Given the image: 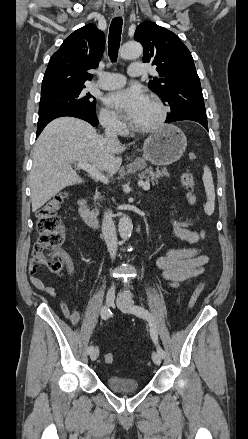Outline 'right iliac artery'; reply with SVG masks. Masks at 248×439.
Returning a JSON list of instances; mask_svg holds the SVG:
<instances>
[{"instance_id": "obj_1", "label": "right iliac artery", "mask_w": 248, "mask_h": 439, "mask_svg": "<svg viewBox=\"0 0 248 439\" xmlns=\"http://www.w3.org/2000/svg\"><path fill=\"white\" fill-rule=\"evenodd\" d=\"M110 314H111L110 309H108V308L105 307V306L102 307V309H101V317H102V319L107 320V319L110 317ZM93 349H94L93 346H89V347L87 348L86 352H87L88 354H90V353L93 351Z\"/></svg>"}]
</instances>
